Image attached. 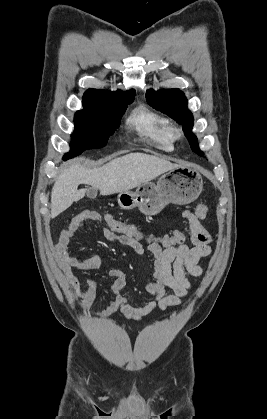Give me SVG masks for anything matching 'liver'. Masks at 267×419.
I'll return each instance as SVG.
<instances>
[{"mask_svg": "<svg viewBox=\"0 0 267 419\" xmlns=\"http://www.w3.org/2000/svg\"><path fill=\"white\" fill-rule=\"evenodd\" d=\"M177 166L163 158L140 152L116 158L94 169L85 168L80 160L64 164L51 192V218L84 197L85 189L78 190L80 184L91 185L99 189L101 195L107 196L131 190Z\"/></svg>", "mask_w": 267, "mask_h": 419, "instance_id": "6515ba94", "label": "liver"}]
</instances>
